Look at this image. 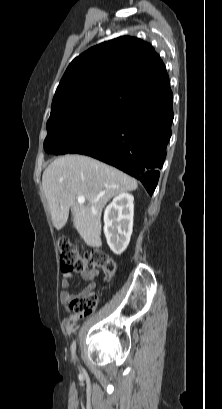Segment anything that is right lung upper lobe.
<instances>
[{
	"mask_svg": "<svg viewBox=\"0 0 222 409\" xmlns=\"http://www.w3.org/2000/svg\"><path fill=\"white\" fill-rule=\"evenodd\" d=\"M164 63L147 42L122 36L94 46L68 66L55 92L51 113L62 108L131 100L170 90Z\"/></svg>",
	"mask_w": 222,
	"mask_h": 409,
	"instance_id": "right-lung-upper-lobe-1",
	"label": "right lung upper lobe"
}]
</instances>
